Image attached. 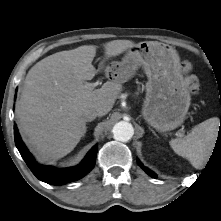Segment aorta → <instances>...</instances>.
<instances>
[{"instance_id": "1", "label": "aorta", "mask_w": 221, "mask_h": 221, "mask_svg": "<svg viewBox=\"0 0 221 221\" xmlns=\"http://www.w3.org/2000/svg\"><path fill=\"white\" fill-rule=\"evenodd\" d=\"M112 132L115 140L127 142L132 138L134 129L131 123L120 121L114 125Z\"/></svg>"}]
</instances>
